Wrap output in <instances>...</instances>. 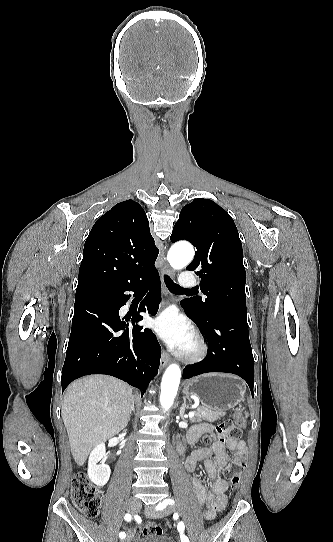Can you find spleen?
Listing matches in <instances>:
<instances>
[{
	"instance_id": "3e777b00",
	"label": "spleen",
	"mask_w": 333,
	"mask_h": 542,
	"mask_svg": "<svg viewBox=\"0 0 333 542\" xmlns=\"http://www.w3.org/2000/svg\"><path fill=\"white\" fill-rule=\"evenodd\" d=\"M245 418H249V412H245Z\"/></svg>"
}]
</instances>
